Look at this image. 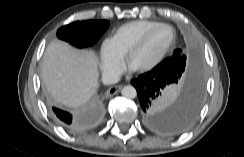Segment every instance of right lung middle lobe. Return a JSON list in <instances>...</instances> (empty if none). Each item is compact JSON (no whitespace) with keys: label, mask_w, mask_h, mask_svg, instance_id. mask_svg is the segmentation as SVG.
<instances>
[{"label":"right lung middle lobe","mask_w":244,"mask_h":157,"mask_svg":"<svg viewBox=\"0 0 244 157\" xmlns=\"http://www.w3.org/2000/svg\"><path fill=\"white\" fill-rule=\"evenodd\" d=\"M109 22L106 20L77 21L61 27L57 36L76 47L93 45L106 31Z\"/></svg>","instance_id":"dd1d6c3e"}]
</instances>
